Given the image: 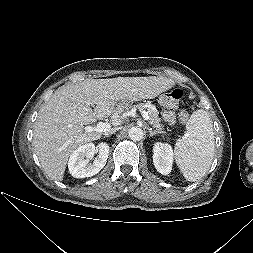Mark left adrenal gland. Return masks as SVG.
I'll use <instances>...</instances> for the list:
<instances>
[{
	"instance_id": "a2214340",
	"label": "left adrenal gland",
	"mask_w": 253,
	"mask_h": 253,
	"mask_svg": "<svg viewBox=\"0 0 253 253\" xmlns=\"http://www.w3.org/2000/svg\"><path fill=\"white\" fill-rule=\"evenodd\" d=\"M148 132H149V135H150V136H153V135L159 133V132H157V131H153L152 128H148Z\"/></svg>"
}]
</instances>
